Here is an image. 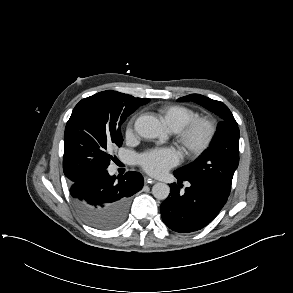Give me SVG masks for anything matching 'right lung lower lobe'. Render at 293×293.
<instances>
[{
	"instance_id": "obj_1",
	"label": "right lung lower lobe",
	"mask_w": 293,
	"mask_h": 293,
	"mask_svg": "<svg viewBox=\"0 0 293 293\" xmlns=\"http://www.w3.org/2000/svg\"><path fill=\"white\" fill-rule=\"evenodd\" d=\"M142 187L143 177L138 172L129 171L123 176L115 177L108 174L107 168H96L72 181L70 193L82 215L118 214L124 221L130 196Z\"/></svg>"
}]
</instances>
